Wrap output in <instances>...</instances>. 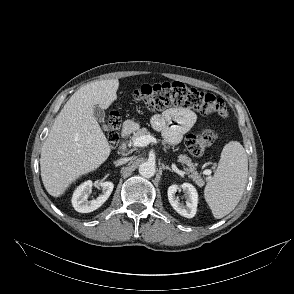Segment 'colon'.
<instances>
[{
	"instance_id": "colon-1",
	"label": "colon",
	"mask_w": 294,
	"mask_h": 294,
	"mask_svg": "<svg viewBox=\"0 0 294 294\" xmlns=\"http://www.w3.org/2000/svg\"><path fill=\"white\" fill-rule=\"evenodd\" d=\"M135 98L147 109L155 111L169 106H185L203 115H218L226 117L228 110L225 102L216 95L188 87L181 82H164L143 85L134 92ZM120 116L111 112L108 118V139L110 144L117 142V129ZM216 133L211 129H203L186 137V148L193 156H201L215 141Z\"/></svg>"
}]
</instances>
